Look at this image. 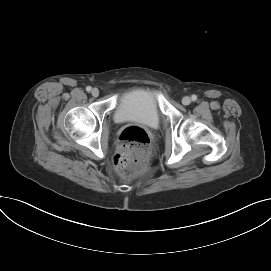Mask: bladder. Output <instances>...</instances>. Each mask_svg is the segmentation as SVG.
Instances as JSON below:
<instances>
[{"label": "bladder", "instance_id": "bladder-1", "mask_svg": "<svg viewBox=\"0 0 271 271\" xmlns=\"http://www.w3.org/2000/svg\"><path fill=\"white\" fill-rule=\"evenodd\" d=\"M161 117L156 95L143 89L124 93L114 112V119L118 123L138 122L150 128H157Z\"/></svg>", "mask_w": 271, "mask_h": 271}]
</instances>
